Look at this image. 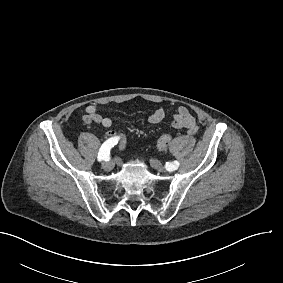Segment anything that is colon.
Returning <instances> with one entry per match:
<instances>
[{
	"label": "colon",
	"mask_w": 283,
	"mask_h": 283,
	"mask_svg": "<svg viewBox=\"0 0 283 283\" xmlns=\"http://www.w3.org/2000/svg\"><path fill=\"white\" fill-rule=\"evenodd\" d=\"M171 141V135L169 133H163L157 140L156 146L159 149H164Z\"/></svg>",
	"instance_id": "5ec220e1"
}]
</instances>
